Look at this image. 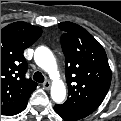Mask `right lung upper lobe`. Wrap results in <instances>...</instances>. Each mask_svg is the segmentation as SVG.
Instances as JSON below:
<instances>
[{
	"label": "right lung upper lobe",
	"instance_id": "right-lung-upper-lobe-1",
	"mask_svg": "<svg viewBox=\"0 0 121 121\" xmlns=\"http://www.w3.org/2000/svg\"><path fill=\"white\" fill-rule=\"evenodd\" d=\"M42 34V29L26 22H15L1 29V114L22 106L37 83L25 78L27 62L23 51Z\"/></svg>",
	"mask_w": 121,
	"mask_h": 121
}]
</instances>
